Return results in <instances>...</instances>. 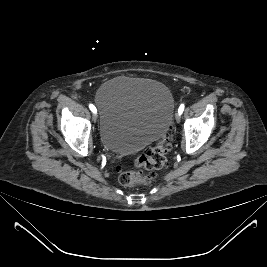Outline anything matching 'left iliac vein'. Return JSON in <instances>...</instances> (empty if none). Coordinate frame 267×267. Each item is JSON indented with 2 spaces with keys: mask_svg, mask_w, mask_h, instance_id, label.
Segmentation results:
<instances>
[{
  "mask_svg": "<svg viewBox=\"0 0 267 267\" xmlns=\"http://www.w3.org/2000/svg\"><path fill=\"white\" fill-rule=\"evenodd\" d=\"M180 119H181V115L179 113L176 114V121L177 122H180Z\"/></svg>",
  "mask_w": 267,
  "mask_h": 267,
  "instance_id": "4c4485c4",
  "label": "left iliac vein"
}]
</instances>
